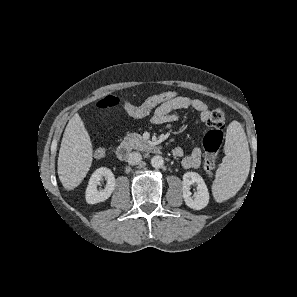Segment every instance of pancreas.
<instances>
[{
    "label": "pancreas",
    "instance_id": "1",
    "mask_svg": "<svg viewBox=\"0 0 297 297\" xmlns=\"http://www.w3.org/2000/svg\"><path fill=\"white\" fill-rule=\"evenodd\" d=\"M122 145L127 147L129 150L137 149L144 150L146 148V143L138 133H129L126 135L122 141Z\"/></svg>",
    "mask_w": 297,
    "mask_h": 297
}]
</instances>
